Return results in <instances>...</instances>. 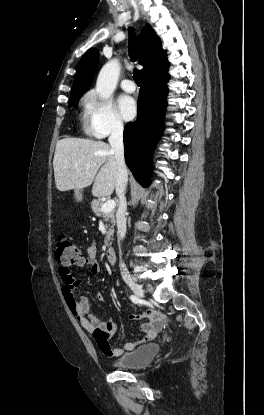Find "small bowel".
<instances>
[{
  "instance_id": "obj_1",
  "label": "small bowel",
  "mask_w": 264,
  "mask_h": 415,
  "mask_svg": "<svg viewBox=\"0 0 264 415\" xmlns=\"http://www.w3.org/2000/svg\"><path fill=\"white\" fill-rule=\"evenodd\" d=\"M83 265L89 267L93 276H99L101 269L96 258V250L93 245H90L86 250V255ZM59 275L63 282V290L65 296L68 292L73 293L81 285V280L73 277L71 268L59 269ZM96 299L104 303L105 298L102 294L97 293ZM73 315L76 317L83 329L91 334L97 341L101 350L108 355L121 356L124 352L132 351L137 345L146 344L153 341L166 322V317L157 310H149L141 313H131L129 318L131 320L146 321L139 326V330L143 336L138 341H129L122 346L112 348L109 342V337L117 331L116 323L113 319L106 321L100 320L92 311V306L87 297L80 295L77 300L68 303Z\"/></svg>"
}]
</instances>
